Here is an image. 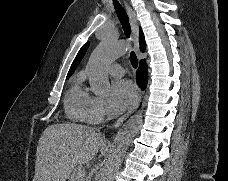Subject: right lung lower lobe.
Wrapping results in <instances>:
<instances>
[{"label": "right lung lower lobe", "mask_w": 228, "mask_h": 181, "mask_svg": "<svg viewBox=\"0 0 228 181\" xmlns=\"http://www.w3.org/2000/svg\"><path fill=\"white\" fill-rule=\"evenodd\" d=\"M148 73H147V64L145 60L140 61V67L136 73V81L138 85L144 89L147 85Z\"/></svg>", "instance_id": "obj_1"}]
</instances>
